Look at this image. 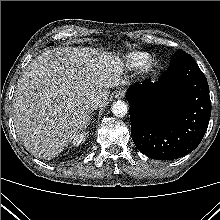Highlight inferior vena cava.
<instances>
[{
  "label": "inferior vena cava",
  "instance_id": "1",
  "mask_svg": "<svg viewBox=\"0 0 220 220\" xmlns=\"http://www.w3.org/2000/svg\"><path fill=\"white\" fill-rule=\"evenodd\" d=\"M100 105H101V99L99 96H92L87 104L88 108H90L91 110H96Z\"/></svg>",
  "mask_w": 220,
  "mask_h": 220
}]
</instances>
